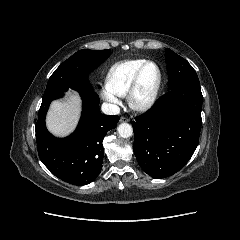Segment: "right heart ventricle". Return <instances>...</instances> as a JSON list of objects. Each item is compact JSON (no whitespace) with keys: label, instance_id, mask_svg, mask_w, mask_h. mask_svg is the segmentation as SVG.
Here are the masks:
<instances>
[{"label":"right heart ventricle","instance_id":"right-heart-ventricle-1","mask_svg":"<svg viewBox=\"0 0 240 240\" xmlns=\"http://www.w3.org/2000/svg\"><path fill=\"white\" fill-rule=\"evenodd\" d=\"M145 61L132 59L114 64L106 76L107 89L117 96H125L136 71Z\"/></svg>","mask_w":240,"mask_h":240}]
</instances>
